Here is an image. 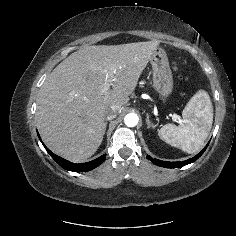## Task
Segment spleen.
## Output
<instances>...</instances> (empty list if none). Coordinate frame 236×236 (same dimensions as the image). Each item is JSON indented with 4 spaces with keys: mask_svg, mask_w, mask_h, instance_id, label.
<instances>
[{
    "mask_svg": "<svg viewBox=\"0 0 236 236\" xmlns=\"http://www.w3.org/2000/svg\"><path fill=\"white\" fill-rule=\"evenodd\" d=\"M182 117L181 125L166 124L158 134L167 144L193 154L202 147L212 127L213 106L205 90H199L189 100Z\"/></svg>",
    "mask_w": 236,
    "mask_h": 236,
    "instance_id": "spleen-1",
    "label": "spleen"
}]
</instances>
